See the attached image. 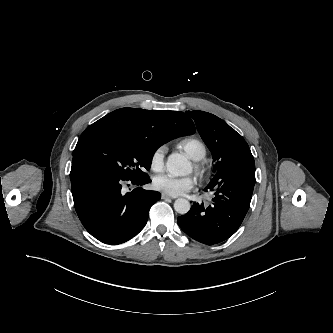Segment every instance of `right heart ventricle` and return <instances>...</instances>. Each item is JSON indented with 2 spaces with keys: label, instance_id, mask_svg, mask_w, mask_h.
<instances>
[{
  "label": "right heart ventricle",
  "instance_id": "right-heart-ventricle-1",
  "mask_svg": "<svg viewBox=\"0 0 333 333\" xmlns=\"http://www.w3.org/2000/svg\"><path fill=\"white\" fill-rule=\"evenodd\" d=\"M178 148L182 149L192 160H202L207 154L205 144L194 137H186L177 143Z\"/></svg>",
  "mask_w": 333,
  "mask_h": 333
}]
</instances>
